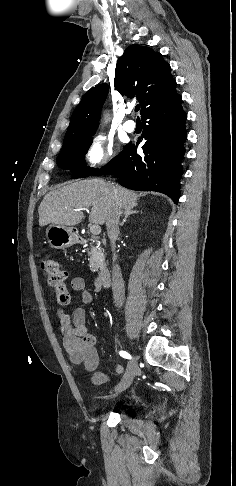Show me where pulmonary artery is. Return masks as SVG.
I'll use <instances>...</instances> for the list:
<instances>
[{"label":"pulmonary artery","instance_id":"1","mask_svg":"<svg viewBox=\"0 0 236 486\" xmlns=\"http://www.w3.org/2000/svg\"><path fill=\"white\" fill-rule=\"evenodd\" d=\"M128 113H131V109L128 111ZM123 127L129 133L134 132L135 129H136L135 121H133V120H127L124 123Z\"/></svg>","mask_w":236,"mask_h":486}]
</instances>
